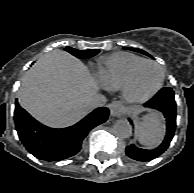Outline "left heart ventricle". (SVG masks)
<instances>
[{"label":"left heart ventricle","instance_id":"obj_1","mask_svg":"<svg viewBox=\"0 0 194 193\" xmlns=\"http://www.w3.org/2000/svg\"><path fill=\"white\" fill-rule=\"evenodd\" d=\"M159 79V68L151 64H144L137 71L129 91L133 95L148 94L156 87Z\"/></svg>","mask_w":194,"mask_h":193}]
</instances>
